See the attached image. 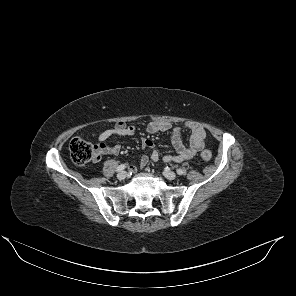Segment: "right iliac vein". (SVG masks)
Returning a JSON list of instances; mask_svg holds the SVG:
<instances>
[{
	"label": "right iliac vein",
	"mask_w": 296,
	"mask_h": 296,
	"mask_svg": "<svg viewBox=\"0 0 296 296\" xmlns=\"http://www.w3.org/2000/svg\"><path fill=\"white\" fill-rule=\"evenodd\" d=\"M127 177V173L125 171H122L120 173H118L117 178L119 180H124Z\"/></svg>",
	"instance_id": "1"
}]
</instances>
